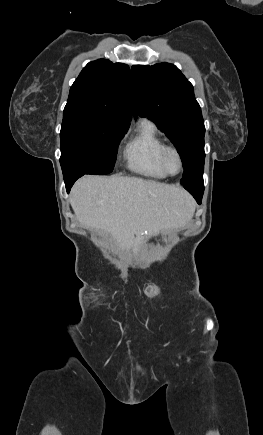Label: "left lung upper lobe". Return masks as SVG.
<instances>
[{
  "label": "left lung upper lobe",
  "mask_w": 263,
  "mask_h": 435,
  "mask_svg": "<svg viewBox=\"0 0 263 435\" xmlns=\"http://www.w3.org/2000/svg\"><path fill=\"white\" fill-rule=\"evenodd\" d=\"M132 75L138 113L153 120L180 154L184 168L181 184L202 181L205 127L192 84L169 63L136 65Z\"/></svg>",
  "instance_id": "left-lung-upper-lobe-1"
}]
</instances>
